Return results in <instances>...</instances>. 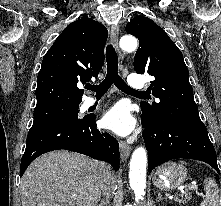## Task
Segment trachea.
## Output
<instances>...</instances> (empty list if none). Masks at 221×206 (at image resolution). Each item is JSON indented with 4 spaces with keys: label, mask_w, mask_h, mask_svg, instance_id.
<instances>
[{
    "label": "trachea",
    "mask_w": 221,
    "mask_h": 206,
    "mask_svg": "<svg viewBox=\"0 0 221 206\" xmlns=\"http://www.w3.org/2000/svg\"><path fill=\"white\" fill-rule=\"evenodd\" d=\"M107 75L99 85H87L86 89L96 92V96H103L108 89L114 84L122 91L134 93H143L130 88L118 74V57L114 47L109 44L106 48Z\"/></svg>",
    "instance_id": "trachea-1"
}]
</instances>
